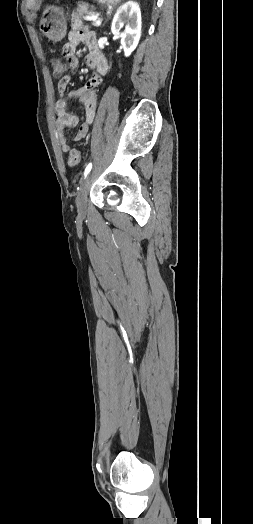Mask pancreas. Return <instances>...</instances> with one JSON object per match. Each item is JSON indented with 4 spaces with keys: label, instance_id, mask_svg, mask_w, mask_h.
Wrapping results in <instances>:
<instances>
[{
    "label": "pancreas",
    "instance_id": "obj_1",
    "mask_svg": "<svg viewBox=\"0 0 253 524\" xmlns=\"http://www.w3.org/2000/svg\"><path fill=\"white\" fill-rule=\"evenodd\" d=\"M94 10L85 2H78L76 8L73 10L71 17L73 19H82L84 15H93Z\"/></svg>",
    "mask_w": 253,
    "mask_h": 524
}]
</instances>
